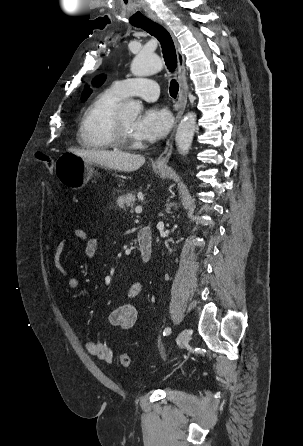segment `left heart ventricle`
Masks as SVG:
<instances>
[{"label": "left heart ventricle", "mask_w": 303, "mask_h": 446, "mask_svg": "<svg viewBox=\"0 0 303 446\" xmlns=\"http://www.w3.org/2000/svg\"><path fill=\"white\" fill-rule=\"evenodd\" d=\"M120 117L127 131L133 136L132 131H133V126L136 122V117L130 115H122Z\"/></svg>", "instance_id": "1"}]
</instances>
